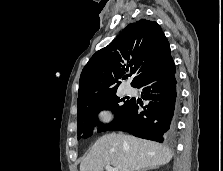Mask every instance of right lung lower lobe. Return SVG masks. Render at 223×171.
Instances as JSON below:
<instances>
[{
    "instance_id": "right-lung-lower-lobe-1",
    "label": "right lung lower lobe",
    "mask_w": 223,
    "mask_h": 171,
    "mask_svg": "<svg viewBox=\"0 0 223 171\" xmlns=\"http://www.w3.org/2000/svg\"><path fill=\"white\" fill-rule=\"evenodd\" d=\"M175 72L174 61L170 59L142 80L136 87L142 88V98L149 101L144 111L138 113L139 107L136 100H133L126 114L106 130L126 131L134 136L157 142L171 140L177 114Z\"/></svg>"
}]
</instances>
